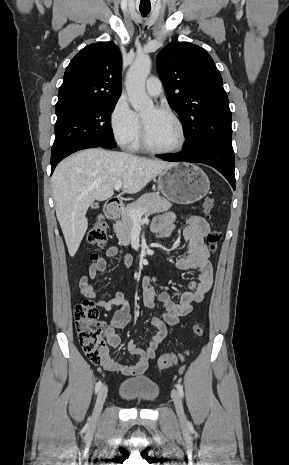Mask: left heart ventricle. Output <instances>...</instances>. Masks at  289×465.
Listing matches in <instances>:
<instances>
[{
  "instance_id": "b2bd125f",
  "label": "left heart ventricle",
  "mask_w": 289,
  "mask_h": 465,
  "mask_svg": "<svg viewBox=\"0 0 289 465\" xmlns=\"http://www.w3.org/2000/svg\"><path fill=\"white\" fill-rule=\"evenodd\" d=\"M149 142L158 148L175 147L180 141L176 123L167 114L149 107L141 114Z\"/></svg>"
}]
</instances>
